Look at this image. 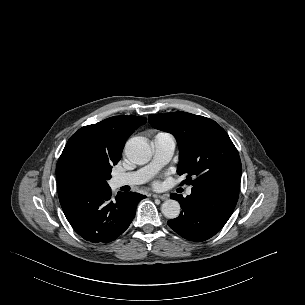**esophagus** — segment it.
Segmentation results:
<instances>
[{
  "mask_svg": "<svg viewBox=\"0 0 305 305\" xmlns=\"http://www.w3.org/2000/svg\"><path fill=\"white\" fill-rule=\"evenodd\" d=\"M153 197L161 199V200H167L168 199V195H166V194H164V195L154 194Z\"/></svg>",
  "mask_w": 305,
  "mask_h": 305,
  "instance_id": "obj_1",
  "label": "esophagus"
}]
</instances>
